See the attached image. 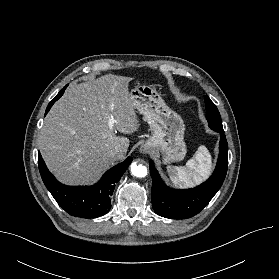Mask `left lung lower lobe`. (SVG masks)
<instances>
[{
  "label": "left lung lower lobe",
  "mask_w": 279,
  "mask_h": 279,
  "mask_svg": "<svg viewBox=\"0 0 279 279\" xmlns=\"http://www.w3.org/2000/svg\"><path fill=\"white\" fill-rule=\"evenodd\" d=\"M219 157L212 176L203 184L185 190L168 188L160 178L152 160V206L156 214L173 219L190 218L199 213L222 186L228 166V144L223 131H220Z\"/></svg>",
  "instance_id": "obj_1"
}]
</instances>
